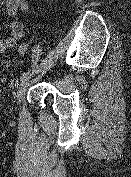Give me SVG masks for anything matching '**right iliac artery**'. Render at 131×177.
Masks as SVG:
<instances>
[{
    "label": "right iliac artery",
    "instance_id": "right-iliac-artery-1",
    "mask_svg": "<svg viewBox=\"0 0 131 177\" xmlns=\"http://www.w3.org/2000/svg\"><path fill=\"white\" fill-rule=\"evenodd\" d=\"M31 76V72H24L21 76H20V81L23 82L24 80H26L27 78H29Z\"/></svg>",
    "mask_w": 131,
    "mask_h": 177
}]
</instances>
